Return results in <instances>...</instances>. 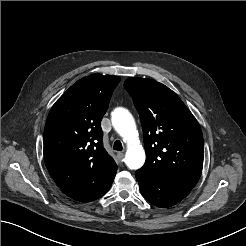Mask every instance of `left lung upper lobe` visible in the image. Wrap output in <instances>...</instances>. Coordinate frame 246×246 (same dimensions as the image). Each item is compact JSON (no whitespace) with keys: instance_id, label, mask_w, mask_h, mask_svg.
<instances>
[{"instance_id":"5c2ea615","label":"left lung upper lobe","mask_w":246,"mask_h":246,"mask_svg":"<svg viewBox=\"0 0 246 246\" xmlns=\"http://www.w3.org/2000/svg\"><path fill=\"white\" fill-rule=\"evenodd\" d=\"M125 89L140 115L146 161L137 170L194 187L203 168V136L179 96L152 79L128 78Z\"/></svg>"}]
</instances>
